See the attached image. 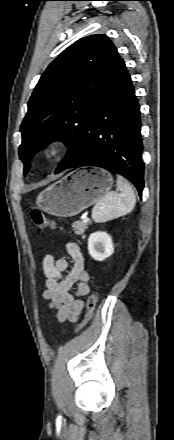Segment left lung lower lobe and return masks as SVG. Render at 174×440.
I'll return each mask as SVG.
<instances>
[{
    "instance_id": "1",
    "label": "left lung lower lobe",
    "mask_w": 174,
    "mask_h": 440,
    "mask_svg": "<svg viewBox=\"0 0 174 440\" xmlns=\"http://www.w3.org/2000/svg\"><path fill=\"white\" fill-rule=\"evenodd\" d=\"M140 131V106L125 63L120 59L104 91L89 110L79 153L60 172L80 166L109 169L129 179L142 196L144 164Z\"/></svg>"
}]
</instances>
